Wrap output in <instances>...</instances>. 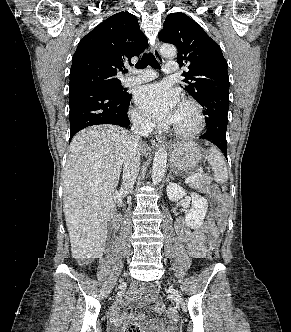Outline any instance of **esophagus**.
I'll return each mask as SVG.
<instances>
[{
	"mask_svg": "<svg viewBox=\"0 0 291 332\" xmlns=\"http://www.w3.org/2000/svg\"><path fill=\"white\" fill-rule=\"evenodd\" d=\"M152 51H153V54L155 55L156 59L159 62L164 61V58H163L162 54L160 53V43L158 41H156V43L152 46ZM164 144H165V139L161 136H155L151 139L152 147H159Z\"/></svg>",
	"mask_w": 291,
	"mask_h": 332,
	"instance_id": "34e87169",
	"label": "esophagus"
}]
</instances>
